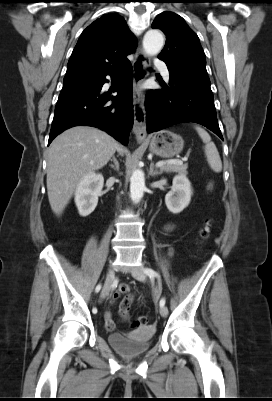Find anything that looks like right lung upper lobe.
Masks as SVG:
<instances>
[{
    "mask_svg": "<svg viewBox=\"0 0 272 401\" xmlns=\"http://www.w3.org/2000/svg\"><path fill=\"white\" fill-rule=\"evenodd\" d=\"M137 47L123 17L106 14L80 35L67 65L62 91L96 81L119 67Z\"/></svg>",
    "mask_w": 272,
    "mask_h": 401,
    "instance_id": "obj_1",
    "label": "right lung upper lobe"
}]
</instances>
